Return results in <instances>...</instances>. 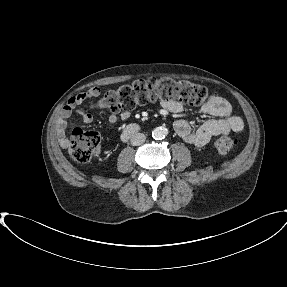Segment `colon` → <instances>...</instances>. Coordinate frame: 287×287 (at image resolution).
Returning a JSON list of instances; mask_svg holds the SVG:
<instances>
[{"mask_svg":"<svg viewBox=\"0 0 287 287\" xmlns=\"http://www.w3.org/2000/svg\"><path fill=\"white\" fill-rule=\"evenodd\" d=\"M215 95L206 87L185 81H176L169 78H150L137 80L117 89L107 91L98 106L113 111H129L137 105H144L156 100L179 101L191 106H201L209 103ZM101 137L95 131L75 128L67 143L71 158L79 163L92 160L99 151ZM240 145L238 138L222 137L217 139L213 146L221 154L235 151Z\"/></svg>","mask_w":287,"mask_h":287,"instance_id":"obj_1","label":"colon"}]
</instances>
